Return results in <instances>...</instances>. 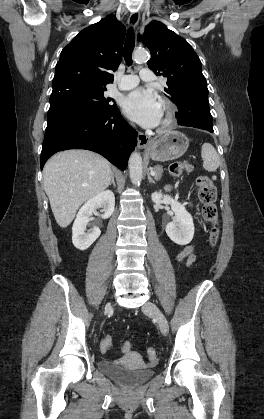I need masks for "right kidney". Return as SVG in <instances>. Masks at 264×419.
I'll use <instances>...</instances> for the list:
<instances>
[{"label":"right kidney","mask_w":264,"mask_h":419,"mask_svg":"<svg viewBox=\"0 0 264 419\" xmlns=\"http://www.w3.org/2000/svg\"><path fill=\"white\" fill-rule=\"evenodd\" d=\"M103 207V219L109 218L115 207V196L110 190L100 192L96 196L90 198L79 210L72 227V242L79 250H86L100 236L101 231L98 227H94L91 232L86 233V226L90 221L91 215L96 209Z\"/></svg>","instance_id":"obj_1"}]
</instances>
